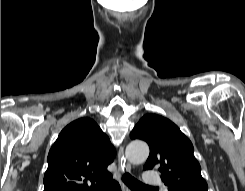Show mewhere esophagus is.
Listing matches in <instances>:
<instances>
[{"label": "esophagus", "instance_id": "obj_1", "mask_svg": "<svg viewBox=\"0 0 245 191\" xmlns=\"http://www.w3.org/2000/svg\"><path fill=\"white\" fill-rule=\"evenodd\" d=\"M118 165H119V170L121 171L122 175L125 172H130L131 171V165L127 161L124 153V146H121L118 152ZM120 185L122 187L123 191H128L127 186L125 185L124 181L122 178H119Z\"/></svg>", "mask_w": 245, "mask_h": 191}]
</instances>
